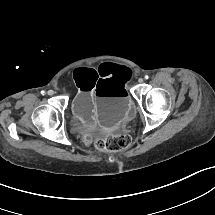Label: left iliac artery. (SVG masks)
<instances>
[{
  "instance_id": "left-iliac-artery-1",
  "label": "left iliac artery",
  "mask_w": 215,
  "mask_h": 215,
  "mask_svg": "<svg viewBox=\"0 0 215 215\" xmlns=\"http://www.w3.org/2000/svg\"><path fill=\"white\" fill-rule=\"evenodd\" d=\"M148 78H149L148 75H146V76H145V79H148Z\"/></svg>"
}]
</instances>
